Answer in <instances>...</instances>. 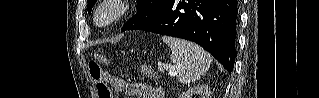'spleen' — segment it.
Segmentation results:
<instances>
[{"mask_svg":"<svg viewBox=\"0 0 319 98\" xmlns=\"http://www.w3.org/2000/svg\"><path fill=\"white\" fill-rule=\"evenodd\" d=\"M163 42L171 51L173 70L178 73V80L189 84L199 80L211 65V56L197 44L177 38L163 36Z\"/></svg>","mask_w":319,"mask_h":98,"instance_id":"obj_1","label":"spleen"}]
</instances>
